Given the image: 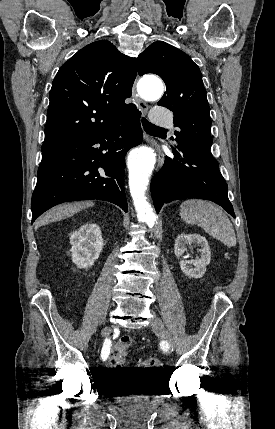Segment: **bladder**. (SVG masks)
I'll return each mask as SVG.
<instances>
[{"label":"bladder","mask_w":275,"mask_h":429,"mask_svg":"<svg viewBox=\"0 0 275 429\" xmlns=\"http://www.w3.org/2000/svg\"><path fill=\"white\" fill-rule=\"evenodd\" d=\"M106 385L105 398H116V403H147L157 393L154 377H107Z\"/></svg>","instance_id":"bladder-1"}]
</instances>
